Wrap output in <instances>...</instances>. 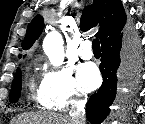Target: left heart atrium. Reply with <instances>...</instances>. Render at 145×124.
<instances>
[{"label": "left heart atrium", "instance_id": "left-heart-atrium-1", "mask_svg": "<svg viewBox=\"0 0 145 124\" xmlns=\"http://www.w3.org/2000/svg\"><path fill=\"white\" fill-rule=\"evenodd\" d=\"M79 82L86 91H91L97 87L100 82V76L94 64L87 63L79 68Z\"/></svg>", "mask_w": 145, "mask_h": 124}]
</instances>
